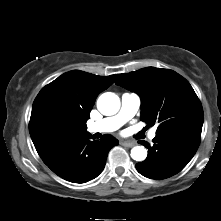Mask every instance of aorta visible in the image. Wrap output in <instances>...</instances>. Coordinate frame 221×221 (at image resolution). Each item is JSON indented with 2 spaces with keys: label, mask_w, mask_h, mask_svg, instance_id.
Returning <instances> with one entry per match:
<instances>
[{
  "label": "aorta",
  "mask_w": 221,
  "mask_h": 221,
  "mask_svg": "<svg viewBox=\"0 0 221 221\" xmlns=\"http://www.w3.org/2000/svg\"><path fill=\"white\" fill-rule=\"evenodd\" d=\"M98 110L106 116L114 115L119 111L120 99L111 92L103 93L97 101ZM131 157L135 161H144L147 157V150L143 146H135L131 149Z\"/></svg>",
  "instance_id": "762f6f07"
}]
</instances>
